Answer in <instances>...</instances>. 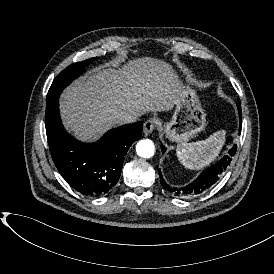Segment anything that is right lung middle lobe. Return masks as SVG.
<instances>
[{
  "mask_svg": "<svg viewBox=\"0 0 274 274\" xmlns=\"http://www.w3.org/2000/svg\"><path fill=\"white\" fill-rule=\"evenodd\" d=\"M94 60L95 58L93 57L82 62L74 63L59 73V75L54 79L48 91L47 100L59 96L63 89L68 86L75 78L79 77L84 68Z\"/></svg>",
  "mask_w": 274,
  "mask_h": 274,
  "instance_id": "dd1d6c3e",
  "label": "right lung middle lobe"
}]
</instances>
